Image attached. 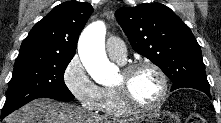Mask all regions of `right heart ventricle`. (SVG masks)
Masks as SVG:
<instances>
[{"instance_id":"right-heart-ventricle-1","label":"right heart ventricle","mask_w":221,"mask_h":123,"mask_svg":"<svg viewBox=\"0 0 221 123\" xmlns=\"http://www.w3.org/2000/svg\"><path fill=\"white\" fill-rule=\"evenodd\" d=\"M98 111L111 118H121L131 114V110L122 103L114 87L102 88V99Z\"/></svg>"}]
</instances>
